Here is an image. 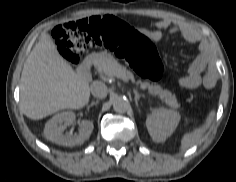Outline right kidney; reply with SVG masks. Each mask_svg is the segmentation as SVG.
<instances>
[{
  "label": "right kidney",
  "instance_id": "ca27d5eb",
  "mask_svg": "<svg viewBox=\"0 0 236 182\" xmlns=\"http://www.w3.org/2000/svg\"><path fill=\"white\" fill-rule=\"evenodd\" d=\"M75 121L71 111L54 115L45 125L44 136L47 140L62 146L73 147L83 144L91 135L94 125L92 121L83 120L79 123L78 134H64V130Z\"/></svg>",
  "mask_w": 236,
  "mask_h": 182
}]
</instances>
